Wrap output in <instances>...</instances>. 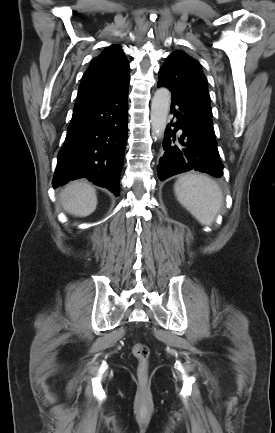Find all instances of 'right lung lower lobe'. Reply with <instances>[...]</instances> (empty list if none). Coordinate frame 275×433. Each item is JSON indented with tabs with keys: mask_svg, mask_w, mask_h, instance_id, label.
<instances>
[{
	"mask_svg": "<svg viewBox=\"0 0 275 433\" xmlns=\"http://www.w3.org/2000/svg\"><path fill=\"white\" fill-rule=\"evenodd\" d=\"M128 89L76 103L58 154L53 188L77 178L119 195L128 131Z\"/></svg>",
	"mask_w": 275,
	"mask_h": 433,
	"instance_id": "obj_1",
	"label": "right lung lower lobe"
}]
</instances>
